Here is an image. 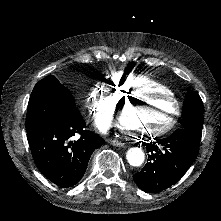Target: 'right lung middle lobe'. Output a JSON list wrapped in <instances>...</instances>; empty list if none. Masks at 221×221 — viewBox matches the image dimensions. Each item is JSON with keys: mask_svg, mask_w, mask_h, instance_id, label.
<instances>
[{"mask_svg": "<svg viewBox=\"0 0 221 221\" xmlns=\"http://www.w3.org/2000/svg\"><path fill=\"white\" fill-rule=\"evenodd\" d=\"M78 116L81 114L70 91L50 75L33 88L26 116V131L41 124L70 121Z\"/></svg>", "mask_w": 221, "mask_h": 221, "instance_id": "right-lung-middle-lobe-1", "label": "right lung middle lobe"}]
</instances>
